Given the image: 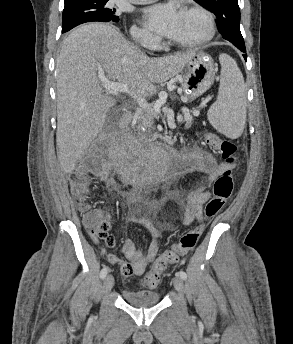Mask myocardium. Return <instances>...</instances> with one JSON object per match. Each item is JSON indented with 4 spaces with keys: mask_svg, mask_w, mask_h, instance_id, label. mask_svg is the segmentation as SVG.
Wrapping results in <instances>:
<instances>
[{
    "mask_svg": "<svg viewBox=\"0 0 293 344\" xmlns=\"http://www.w3.org/2000/svg\"><path fill=\"white\" fill-rule=\"evenodd\" d=\"M182 12H196L199 13L205 20V33L194 40L191 41H171L169 40V45L177 48H197L209 43L216 33V23L214 15L207 8L199 4H190L182 8Z\"/></svg>",
    "mask_w": 293,
    "mask_h": 344,
    "instance_id": "obj_1",
    "label": "myocardium"
}]
</instances>
